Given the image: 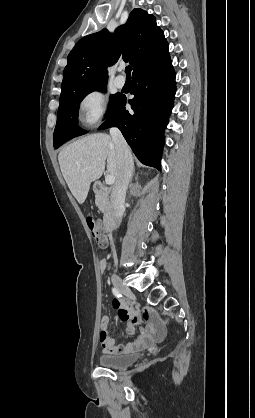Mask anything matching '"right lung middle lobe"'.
<instances>
[{
  "label": "right lung middle lobe",
  "instance_id": "1",
  "mask_svg": "<svg viewBox=\"0 0 255 418\" xmlns=\"http://www.w3.org/2000/svg\"><path fill=\"white\" fill-rule=\"evenodd\" d=\"M107 83V82H106ZM106 83H100L85 88L75 89L61 93L60 105L57 114V123L54 131V148L57 149L66 141L86 133L78 127V111L80 102L83 98L94 90L105 91ZM119 94L110 97L109 111L106 118L110 115Z\"/></svg>",
  "mask_w": 255,
  "mask_h": 418
}]
</instances>
